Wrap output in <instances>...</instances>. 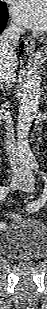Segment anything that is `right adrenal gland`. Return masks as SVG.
I'll list each match as a JSON object with an SVG mask.
<instances>
[{
    "instance_id": "2a0ac1e0",
    "label": "right adrenal gland",
    "mask_w": 47,
    "mask_h": 309,
    "mask_svg": "<svg viewBox=\"0 0 47 309\" xmlns=\"http://www.w3.org/2000/svg\"><path fill=\"white\" fill-rule=\"evenodd\" d=\"M0 89H1L2 91H4V89L7 90L8 87H7V86L4 87L3 84H1V85H0Z\"/></svg>"
}]
</instances>
